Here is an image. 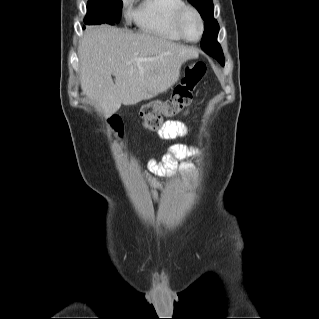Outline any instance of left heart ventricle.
I'll list each match as a JSON object with an SVG mask.
<instances>
[{"mask_svg": "<svg viewBox=\"0 0 319 319\" xmlns=\"http://www.w3.org/2000/svg\"><path fill=\"white\" fill-rule=\"evenodd\" d=\"M182 29L185 35L190 39H195L200 33V26L197 18L191 12H188L182 19Z\"/></svg>", "mask_w": 319, "mask_h": 319, "instance_id": "obj_1", "label": "left heart ventricle"}]
</instances>
